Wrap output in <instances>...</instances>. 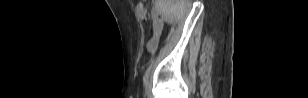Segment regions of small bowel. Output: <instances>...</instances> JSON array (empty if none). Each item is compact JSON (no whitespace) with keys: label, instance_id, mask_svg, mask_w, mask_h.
I'll use <instances>...</instances> for the list:
<instances>
[{"label":"small bowel","instance_id":"c3829d8e","mask_svg":"<svg viewBox=\"0 0 308 98\" xmlns=\"http://www.w3.org/2000/svg\"><path fill=\"white\" fill-rule=\"evenodd\" d=\"M162 31V27L157 25L154 28V35L148 42L147 48L150 52H154L157 48L158 40H159V35Z\"/></svg>","mask_w":308,"mask_h":98}]
</instances>
